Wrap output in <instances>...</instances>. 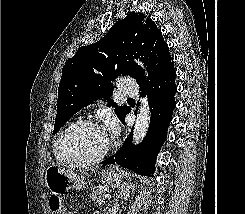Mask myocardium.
<instances>
[{
    "label": "myocardium",
    "instance_id": "f54148a6",
    "mask_svg": "<svg viewBox=\"0 0 245 214\" xmlns=\"http://www.w3.org/2000/svg\"><path fill=\"white\" fill-rule=\"evenodd\" d=\"M83 126H94V127L101 128V126L92 119H82V120L74 122L63 132V134L60 136L58 143H57V153H58L59 158L67 164L91 165V164L99 163L103 159H105V157L111 152L113 148L112 142L110 141L107 148L97 156L90 157V158H78V157H73V156L68 155L64 151V145H65L67 138L70 136L72 132H74L76 129L83 127Z\"/></svg>",
    "mask_w": 245,
    "mask_h": 214
}]
</instances>
